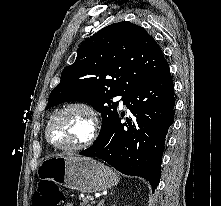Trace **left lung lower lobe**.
I'll return each mask as SVG.
<instances>
[{"instance_id":"left-lung-lower-lobe-1","label":"left lung lower lobe","mask_w":221,"mask_h":206,"mask_svg":"<svg viewBox=\"0 0 221 206\" xmlns=\"http://www.w3.org/2000/svg\"><path fill=\"white\" fill-rule=\"evenodd\" d=\"M131 119L112 128L81 155L105 160L118 171L148 180L154 190L160 181L165 138L174 121V88L168 68L125 100ZM124 116V115H121Z\"/></svg>"}]
</instances>
